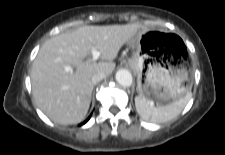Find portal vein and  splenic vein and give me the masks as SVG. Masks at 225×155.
Masks as SVG:
<instances>
[{
	"label": "portal vein and splenic vein",
	"instance_id": "18ae733b",
	"mask_svg": "<svg viewBox=\"0 0 225 155\" xmlns=\"http://www.w3.org/2000/svg\"><path fill=\"white\" fill-rule=\"evenodd\" d=\"M91 53H92V60L93 61H96L101 55V52L96 50V49H91ZM71 70L72 69L70 67L66 68V71H71Z\"/></svg>",
	"mask_w": 225,
	"mask_h": 155
}]
</instances>
